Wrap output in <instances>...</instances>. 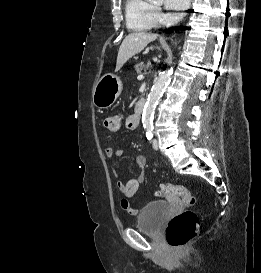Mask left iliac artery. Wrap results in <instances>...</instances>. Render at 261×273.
I'll return each mask as SVG.
<instances>
[{"label":"left iliac artery","instance_id":"44dca946","mask_svg":"<svg viewBox=\"0 0 261 273\" xmlns=\"http://www.w3.org/2000/svg\"><path fill=\"white\" fill-rule=\"evenodd\" d=\"M146 137L148 138V140L152 139V137H153L152 129L147 130Z\"/></svg>","mask_w":261,"mask_h":273}]
</instances>
